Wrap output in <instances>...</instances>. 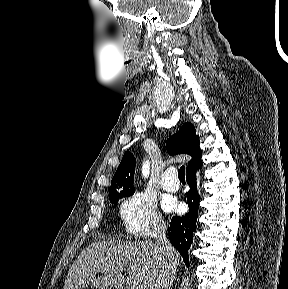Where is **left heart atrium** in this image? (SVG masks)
Segmentation results:
<instances>
[{
	"label": "left heart atrium",
	"mask_w": 288,
	"mask_h": 289,
	"mask_svg": "<svg viewBox=\"0 0 288 289\" xmlns=\"http://www.w3.org/2000/svg\"><path fill=\"white\" fill-rule=\"evenodd\" d=\"M163 208L166 211H172L175 210L177 208V204L174 200L171 199H167L164 203H163Z\"/></svg>",
	"instance_id": "1"
}]
</instances>
